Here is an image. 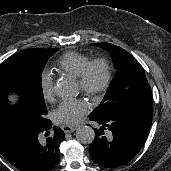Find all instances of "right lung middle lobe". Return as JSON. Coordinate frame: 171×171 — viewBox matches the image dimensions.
Here are the masks:
<instances>
[{"instance_id": "right-lung-middle-lobe-1", "label": "right lung middle lobe", "mask_w": 171, "mask_h": 171, "mask_svg": "<svg viewBox=\"0 0 171 171\" xmlns=\"http://www.w3.org/2000/svg\"><path fill=\"white\" fill-rule=\"evenodd\" d=\"M57 50L26 49L0 64V153L3 156L45 122L47 109L41 85L42 72ZM13 90L21 96L15 106L7 101L8 93Z\"/></svg>"}]
</instances>
